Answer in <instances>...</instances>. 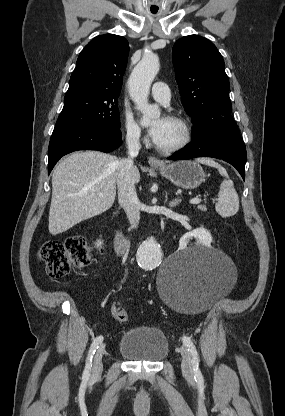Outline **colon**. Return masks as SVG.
Returning a JSON list of instances; mask_svg holds the SVG:
<instances>
[{
    "label": "colon",
    "mask_w": 285,
    "mask_h": 416,
    "mask_svg": "<svg viewBox=\"0 0 285 416\" xmlns=\"http://www.w3.org/2000/svg\"><path fill=\"white\" fill-rule=\"evenodd\" d=\"M38 258L44 264L46 274L51 278L67 275L74 267H83L92 259L91 249L85 237L76 235L64 241H49L41 245ZM112 314L122 324L128 320L122 305L115 303Z\"/></svg>",
    "instance_id": "obj_1"
}]
</instances>
